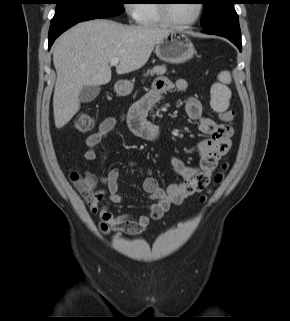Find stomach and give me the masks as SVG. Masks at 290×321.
<instances>
[{
  "instance_id": "stomach-1",
  "label": "stomach",
  "mask_w": 290,
  "mask_h": 321,
  "mask_svg": "<svg viewBox=\"0 0 290 321\" xmlns=\"http://www.w3.org/2000/svg\"><path fill=\"white\" fill-rule=\"evenodd\" d=\"M157 57L165 62L181 64L193 57L195 48L191 40L182 32L171 31L156 44ZM114 89L120 96H125L133 90V84L129 81H119Z\"/></svg>"
}]
</instances>
